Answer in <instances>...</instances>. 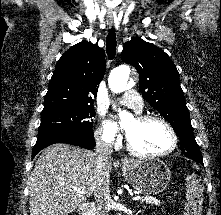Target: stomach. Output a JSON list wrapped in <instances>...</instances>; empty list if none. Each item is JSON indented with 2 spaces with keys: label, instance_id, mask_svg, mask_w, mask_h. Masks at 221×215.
Wrapping results in <instances>:
<instances>
[{
  "label": "stomach",
  "instance_id": "0dacf381",
  "mask_svg": "<svg viewBox=\"0 0 221 215\" xmlns=\"http://www.w3.org/2000/svg\"><path fill=\"white\" fill-rule=\"evenodd\" d=\"M122 173L134 190L147 195L162 192L171 178L170 169L160 159L126 160L122 165Z\"/></svg>",
  "mask_w": 221,
  "mask_h": 215
}]
</instances>
